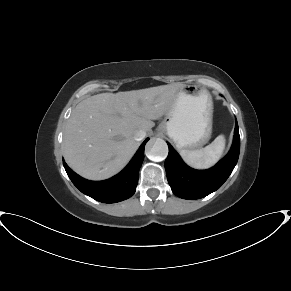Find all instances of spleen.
Instances as JSON below:
<instances>
[{"instance_id":"spleen-1","label":"spleen","mask_w":291,"mask_h":291,"mask_svg":"<svg viewBox=\"0 0 291 291\" xmlns=\"http://www.w3.org/2000/svg\"><path fill=\"white\" fill-rule=\"evenodd\" d=\"M225 148V137L219 135L208 146L198 150L183 149L180 155L192 168L207 169L212 167L221 158Z\"/></svg>"}]
</instances>
